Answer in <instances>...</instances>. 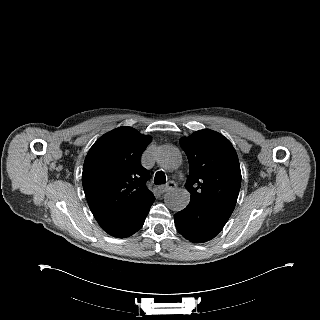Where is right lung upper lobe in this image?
I'll return each mask as SVG.
<instances>
[{
    "mask_svg": "<svg viewBox=\"0 0 320 320\" xmlns=\"http://www.w3.org/2000/svg\"><path fill=\"white\" fill-rule=\"evenodd\" d=\"M150 136L131 127L116 128L101 136L89 150L82 184L91 212L100 224L152 204L148 171L140 163Z\"/></svg>",
    "mask_w": 320,
    "mask_h": 320,
    "instance_id": "obj_1",
    "label": "right lung upper lobe"
}]
</instances>
